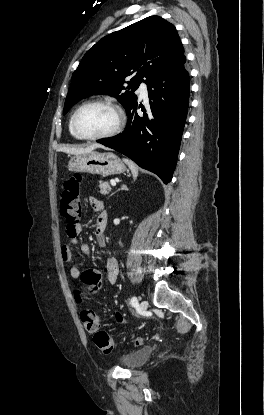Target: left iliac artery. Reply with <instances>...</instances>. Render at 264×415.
I'll use <instances>...</instances> for the list:
<instances>
[{
  "label": "left iliac artery",
  "mask_w": 264,
  "mask_h": 415,
  "mask_svg": "<svg viewBox=\"0 0 264 415\" xmlns=\"http://www.w3.org/2000/svg\"><path fill=\"white\" fill-rule=\"evenodd\" d=\"M130 304L132 307H136L138 305V300L135 296H133L130 300Z\"/></svg>",
  "instance_id": "obj_1"
}]
</instances>
